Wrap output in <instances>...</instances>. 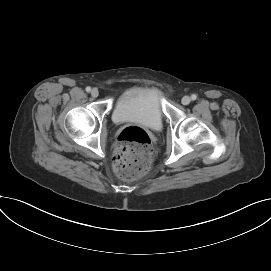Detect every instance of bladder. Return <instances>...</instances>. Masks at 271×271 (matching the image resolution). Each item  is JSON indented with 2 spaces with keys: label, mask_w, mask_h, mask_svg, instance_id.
Listing matches in <instances>:
<instances>
[{
  "label": "bladder",
  "mask_w": 271,
  "mask_h": 271,
  "mask_svg": "<svg viewBox=\"0 0 271 271\" xmlns=\"http://www.w3.org/2000/svg\"><path fill=\"white\" fill-rule=\"evenodd\" d=\"M112 118L118 124L136 122L152 130L163 126L160 96L155 90H131L119 97Z\"/></svg>",
  "instance_id": "bladder-1"
}]
</instances>
